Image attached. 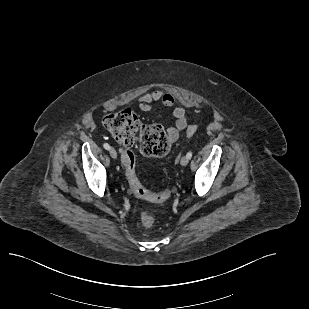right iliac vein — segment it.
Masks as SVG:
<instances>
[{
  "label": "right iliac vein",
  "mask_w": 309,
  "mask_h": 309,
  "mask_svg": "<svg viewBox=\"0 0 309 309\" xmlns=\"http://www.w3.org/2000/svg\"><path fill=\"white\" fill-rule=\"evenodd\" d=\"M109 153H110V156L113 158V159H116L117 158V152L114 148H110L109 150Z\"/></svg>",
  "instance_id": "obj_1"
}]
</instances>
